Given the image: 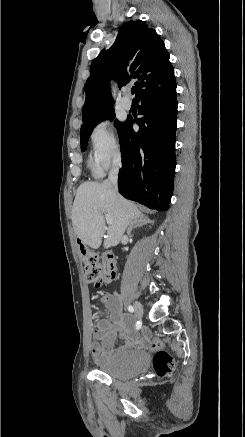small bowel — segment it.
Listing matches in <instances>:
<instances>
[{
    "instance_id": "c3829d8e",
    "label": "small bowel",
    "mask_w": 245,
    "mask_h": 437,
    "mask_svg": "<svg viewBox=\"0 0 245 437\" xmlns=\"http://www.w3.org/2000/svg\"><path fill=\"white\" fill-rule=\"evenodd\" d=\"M102 302L111 315L110 321L103 320L98 323L93 334L91 352L97 361H103L114 353V343L118 336L123 338L124 347L144 343L137 336L133 319L120 310V301L116 294H105Z\"/></svg>"
}]
</instances>
